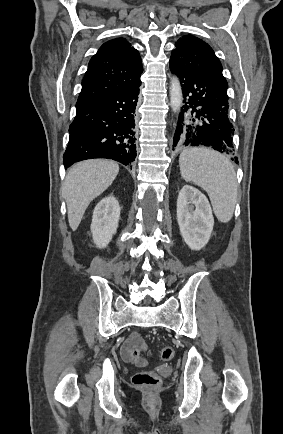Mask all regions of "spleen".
I'll return each instance as SVG.
<instances>
[{"label": "spleen", "mask_w": 283, "mask_h": 434, "mask_svg": "<svg viewBox=\"0 0 283 434\" xmlns=\"http://www.w3.org/2000/svg\"><path fill=\"white\" fill-rule=\"evenodd\" d=\"M181 176L203 188L220 222L231 220L237 199V180L232 162L205 148L184 150L179 157Z\"/></svg>", "instance_id": "obj_1"}]
</instances>
